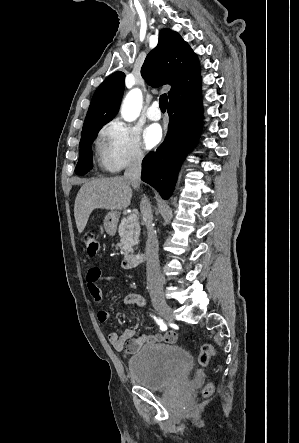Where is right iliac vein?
I'll use <instances>...</instances> for the list:
<instances>
[{"instance_id":"obj_1","label":"right iliac vein","mask_w":299,"mask_h":443,"mask_svg":"<svg viewBox=\"0 0 299 443\" xmlns=\"http://www.w3.org/2000/svg\"><path fill=\"white\" fill-rule=\"evenodd\" d=\"M155 309L162 315L164 319L171 322L174 320V313L172 308L164 301H156Z\"/></svg>"}]
</instances>
